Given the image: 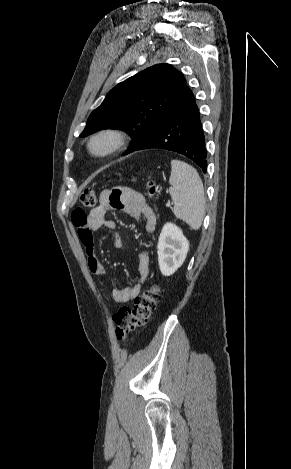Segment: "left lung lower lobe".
I'll return each mask as SVG.
<instances>
[{"label":"left lung lower lobe","instance_id":"0a47b994","mask_svg":"<svg viewBox=\"0 0 291 469\" xmlns=\"http://www.w3.org/2000/svg\"><path fill=\"white\" fill-rule=\"evenodd\" d=\"M163 148L191 159L203 172L207 170V150L199 109L190 89L148 136L130 152ZM127 154V153H126Z\"/></svg>","mask_w":291,"mask_h":469}]
</instances>
